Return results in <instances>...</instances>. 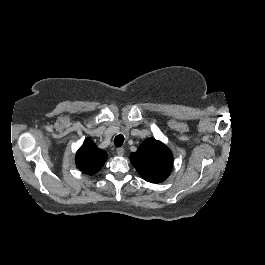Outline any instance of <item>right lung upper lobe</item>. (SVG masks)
<instances>
[{"instance_id": "cb5924a9", "label": "right lung upper lobe", "mask_w": 265, "mask_h": 265, "mask_svg": "<svg viewBox=\"0 0 265 265\" xmlns=\"http://www.w3.org/2000/svg\"><path fill=\"white\" fill-rule=\"evenodd\" d=\"M107 160L105 151L99 149L89 138L85 140L83 146L77 151L76 165L87 174L98 172Z\"/></svg>"}]
</instances>
